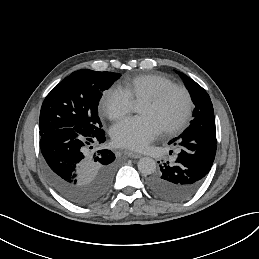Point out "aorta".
<instances>
[{
	"label": "aorta",
	"mask_w": 259,
	"mask_h": 259,
	"mask_svg": "<svg viewBox=\"0 0 259 259\" xmlns=\"http://www.w3.org/2000/svg\"><path fill=\"white\" fill-rule=\"evenodd\" d=\"M138 170L143 175H150L156 170V162L150 157H143L138 161Z\"/></svg>",
	"instance_id": "762f6f07"
}]
</instances>
